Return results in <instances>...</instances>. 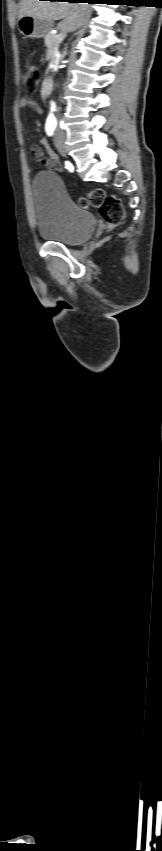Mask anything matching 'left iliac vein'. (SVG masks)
Here are the masks:
<instances>
[{"instance_id": "4c4485c4", "label": "left iliac vein", "mask_w": 162, "mask_h": 851, "mask_svg": "<svg viewBox=\"0 0 162 851\" xmlns=\"http://www.w3.org/2000/svg\"><path fill=\"white\" fill-rule=\"evenodd\" d=\"M57 149H58L61 156H63V157L66 156V150H65V148L62 144L58 143Z\"/></svg>"}]
</instances>
